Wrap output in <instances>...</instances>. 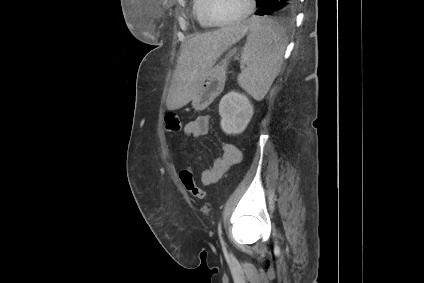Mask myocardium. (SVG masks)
I'll use <instances>...</instances> for the list:
<instances>
[{
  "label": "myocardium",
  "instance_id": "1",
  "mask_svg": "<svg viewBox=\"0 0 424 283\" xmlns=\"http://www.w3.org/2000/svg\"><path fill=\"white\" fill-rule=\"evenodd\" d=\"M212 3H213V0H205L204 14H205L206 20L212 26H217V27L228 26V25H232V24H236L238 22H241V21L245 20L246 18H248L253 13V11L255 9V0H248V7L242 15H240L239 17L232 19V20L220 21V20H217L216 18H214V16L212 15V11H211Z\"/></svg>",
  "mask_w": 424,
  "mask_h": 283
}]
</instances>
